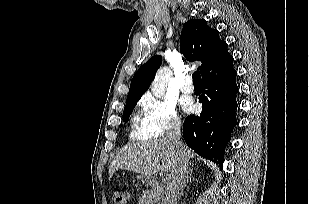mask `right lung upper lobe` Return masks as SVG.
Here are the masks:
<instances>
[{"instance_id": "cb5924a9", "label": "right lung upper lobe", "mask_w": 309, "mask_h": 204, "mask_svg": "<svg viewBox=\"0 0 309 204\" xmlns=\"http://www.w3.org/2000/svg\"><path fill=\"white\" fill-rule=\"evenodd\" d=\"M180 46L187 60L202 62L198 68L202 80L224 71L233 63L227 43L221 41L218 31L211 29L203 19L189 20L183 25ZM161 63L162 57L155 55L138 69L132 78L127 100L139 99L145 93Z\"/></svg>"}]
</instances>
